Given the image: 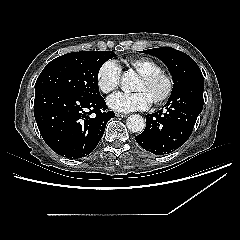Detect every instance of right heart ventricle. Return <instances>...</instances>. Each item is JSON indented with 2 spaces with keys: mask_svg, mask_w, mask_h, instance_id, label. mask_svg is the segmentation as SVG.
<instances>
[{
  "mask_svg": "<svg viewBox=\"0 0 240 240\" xmlns=\"http://www.w3.org/2000/svg\"><path fill=\"white\" fill-rule=\"evenodd\" d=\"M122 64L131 67L137 74L159 70V67L153 60L145 57L129 58L123 60Z\"/></svg>",
  "mask_w": 240,
  "mask_h": 240,
  "instance_id": "e07e8e85",
  "label": "right heart ventricle"
}]
</instances>
